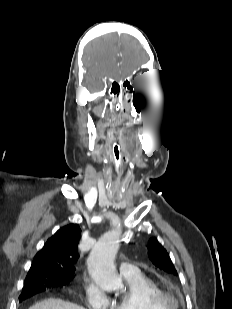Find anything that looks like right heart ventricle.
<instances>
[{
  "mask_svg": "<svg viewBox=\"0 0 232 309\" xmlns=\"http://www.w3.org/2000/svg\"><path fill=\"white\" fill-rule=\"evenodd\" d=\"M123 278L126 291L119 298L110 300L109 309H161L153 300L161 290L152 279L140 271Z\"/></svg>",
  "mask_w": 232,
  "mask_h": 309,
  "instance_id": "1",
  "label": "right heart ventricle"
}]
</instances>
